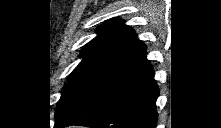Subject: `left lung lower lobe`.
I'll use <instances>...</instances> for the list:
<instances>
[{
  "label": "left lung lower lobe",
  "instance_id": "left-lung-lower-lobe-1",
  "mask_svg": "<svg viewBox=\"0 0 221 128\" xmlns=\"http://www.w3.org/2000/svg\"><path fill=\"white\" fill-rule=\"evenodd\" d=\"M154 71L145 58L99 99L65 122L62 127L155 128L158 87Z\"/></svg>",
  "mask_w": 221,
  "mask_h": 128
}]
</instances>
